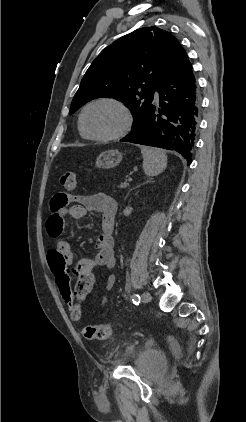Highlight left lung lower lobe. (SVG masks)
<instances>
[{
	"label": "left lung lower lobe",
	"instance_id": "obj_1",
	"mask_svg": "<svg viewBox=\"0 0 246 422\" xmlns=\"http://www.w3.org/2000/svg\"><path fill=\"white\" fill-rule=\"evenodd\" d=\"M155 91L139 123L120 141L176 151L189 165L198 131L200 95L184 49Z\"/></svg>",
	"mask_w": 246,
	"mask_h": 422
}]
</instances>
